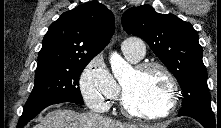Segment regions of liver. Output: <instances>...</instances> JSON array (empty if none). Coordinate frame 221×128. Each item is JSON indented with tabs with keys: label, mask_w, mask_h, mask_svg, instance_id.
Returning a JSON list of instances; mask_svg holds the SVG:
<instances>
[{
	"label": "liver",
	"mask_w": 221,
	"mask_h": 128,
	"mask_svg": "<svg viewBox=\"0 0 221 128\" xmlns=\"http://www.w3.org/2000/svg\"><path fill=\"white\" fill-rule=\"evenodd\" d=\"M167 125H141L114 121L98 113H78L69 109L49 112L34 128H166Z\"/></svg>",
	"instance_id": "1"
}]
</instances>
